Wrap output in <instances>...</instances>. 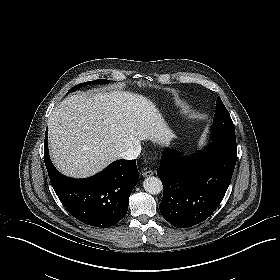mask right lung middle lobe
Segmentation results:
<instances>
[{
    "mask_svg": "<svg viewBox=\"0 0 280 280\" xmlns=\"http://www.w3.org/2000/svg\"><path fill=\"white\" fill-rule=\"evenodd\" d=\"M110 81L109 80H106V79H97L95 81H88V82H84V83H81V84H78L76 86H74L73 88H71L68 93L70 92H73V91H76L78 90L79 88L83 87V86H86L88 84H107L109 83Z\"/></svg>",
    "mask_w": 280,
    "mask_h": 280,
    "instance_id": "1",
    "label": "right lung middle lobe"
}]
</instances>
